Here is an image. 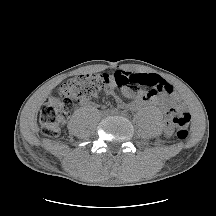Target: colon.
Wrapping results in <instances>:
<instances>
[{
	"instance_id": "colon-1",
	"label": "colon",
	"mask_w": 216,
	"mask_h": 216,
	"mask_svg": "<svg viewBox=\"0 0 216 216\" xmlns=\"http://www.w3.org/2000/svg\"><path fill=\"white\" fill-rule=\"evenodd\" d=\"M120 75L129 76L125 72L113 74L82 75L70 79L60 86L43 104L40 111V124L46 136L55 137L61 125L75 105L82 101H92L107 91L112 85H118ZM168 116L175 125L176 135L184 140L189 135L190 114L185 108H172Z\"/></svg>"
}]
</instances>
